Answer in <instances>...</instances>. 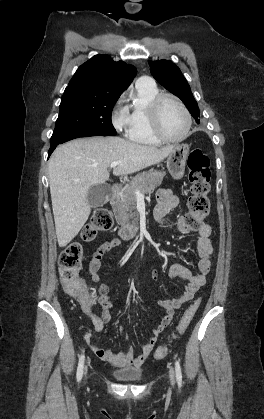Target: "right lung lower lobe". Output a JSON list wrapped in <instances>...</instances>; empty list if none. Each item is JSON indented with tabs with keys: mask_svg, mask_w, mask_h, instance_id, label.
Here are the masks:
<instances>
[{
	"mask_svg": "<svg viewBox=\"0 0 264 419\" xmlns=\"http://www.w3.org/2000/svg\"><path fill=\"white\" fill-rule=\"evenodd\" d=\"M89 136H109V135H106V134H101V133H80V134H77V135L71 136V137H69V138H67V139L63 140L62 142H60V143H58V144L51 145L50 150H49V152H48V157L51 155V153L54 151V149L56 148V146H57V145L62 144V143H64V142H66V141H69V140L75 139V138H79V137H89Z\"/></svg>",
	"mask_w": 264,
	"mask_h": 419,
	"instance_id": "right-lung-lower-lobe-1",
	"label": "right lung lower lobe"
}]
</instances>
